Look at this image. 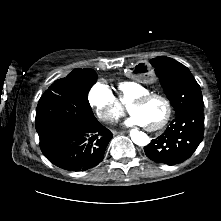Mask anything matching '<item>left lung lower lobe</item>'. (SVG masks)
Listing matches in <instances>:
<instances>
[{
	"mask_svg": "<svg viewBox=\"0 0 221 221\" xmlns=\"http://www.w3.org/2000/svg\"><path fill=\"white\" fill-rule=\"evenodd\" d=\"M203 134V107L190 108L178 114L170 127L145 146L144 151L146 156L156 163L179 164L194 153L203 140ZM170 148L173 149L169 150Z\"/></svg>",
	"mask_w": 221,
	"mask_h": 221,
	"instance_id": "obj_1",
	"label": "left lung lower lobe"
}]
</instances>
